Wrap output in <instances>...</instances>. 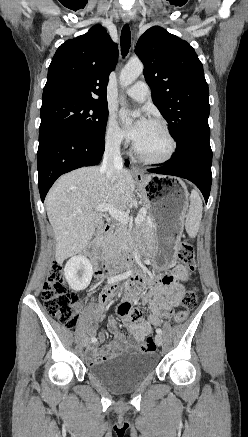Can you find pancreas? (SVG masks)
Instances as JSON below:
<instances>
[{
	"instance_id": "1",
	"label": "pancreas",
	"mask_w": 248,
	"mask_h": 437,
	"mask_svg": "<svg viewBox=\"0 0 248 437\" xmlns=\"http://www.w3.org/2000/svg\"><path fill=\"white\" fill-rule=\"evenodd\" d=\"M140 228L143 234L148 237H153L152 230V218L150 215L144 216L141 223ZM128 235V228L124 224H118L115 230L106 238L104 242V249L106 253L110 256H114L117 254L119 249L126 244Z\"/></svg>"
}]
</instances>
